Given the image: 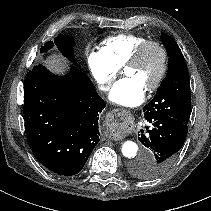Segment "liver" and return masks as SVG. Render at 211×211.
Wrapping results in <instances>:
<instances>
[{
  "instance_id": "6515ba94",
  "label": "liver",
  "mask_w": 211,
  "mask_h": 211,
  "mask_svg": "<svg viewBox=\"0 0 211 211\" xmlns=\"http://www.w3.org/2000/svg\"><path fill=\"white\" fill-rule=\"evenodd\" d=\"M47 67L54 73L63 74L67 67L63 62V59L58 55H52L46 60Z\"/></svg>"
}]
</instances>
